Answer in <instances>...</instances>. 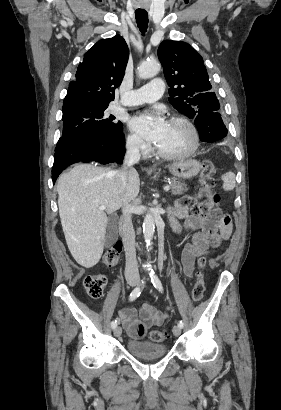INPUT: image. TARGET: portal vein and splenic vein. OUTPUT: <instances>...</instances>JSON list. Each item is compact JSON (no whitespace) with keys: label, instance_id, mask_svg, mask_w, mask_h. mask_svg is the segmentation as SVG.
<instances>
[{"label":"portal vein and splenic vein","instance_id":"obj_1","mask_svg":"<svg viewBox=\"0 0 281 410\" xmlns=\"http://www.w3.org/2000/svg\"><path fill=\"white\" fill-rule=\"evenodd\" d=\"M170 189H171L170 185H166V186L163 187V190L166 191V192L169 191ZM105 209H106L105 206L99 207V210H105Z\"/></svg>","mask_w":281,"mask_h":410}]
</instances>
